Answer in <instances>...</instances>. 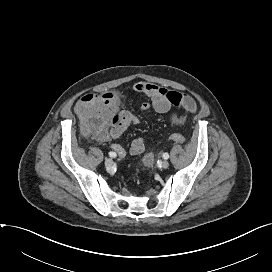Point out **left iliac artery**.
Returning <instances> with one entry per match:
<instances>
[{"instance_id":"1","label":"left iliac artery","mask_w":272,"mask_h":272,"mask_svg":"<svg viewBox=\"0 0 272 272\" xmlns=\"http://www.w3.org/2000/svg\"><path fill=\"white\" fill-rule=\"evenodd\" d=\"M163 158H164V159H168V158H169V154H168V153H164V154H163Z\"/></svg>"}]
</instances>
